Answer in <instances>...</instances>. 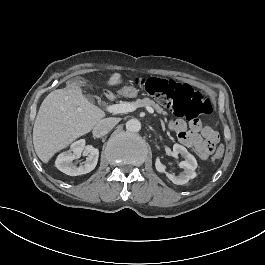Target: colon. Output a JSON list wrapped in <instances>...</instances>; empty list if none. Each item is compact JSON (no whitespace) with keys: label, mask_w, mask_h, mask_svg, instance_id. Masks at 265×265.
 <instances>
[{"label":"colon","mask_w":265,"mask_h":265,"mask_svg":"<svg viewBox=\"0 0 265 265\" xmlns=\"http://www.w3.org/2000/svg\"><path fill=\"white\" fill-rule=\"evenodd\" d=\"M138 86L160 105L168 108L175 117L192 120L211 113L210 100L195 92L188 84L150 76L141 78ZM223 155L224 146L219 145L212 153V159L220 161Z\"/></svg>","instance_id":"colon-1"}]
</instances>
